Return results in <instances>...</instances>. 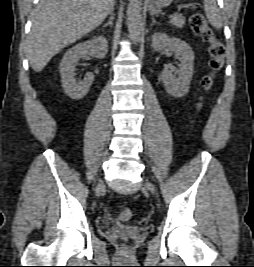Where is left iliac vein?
I'll return each mask as SVG.
<instances>
[{"label":"left iliac vein","instance_id":"1","mask_svg":"<svg viewBox=\"0 0 254 267\" xmlns=\"http://www.w3.org/2000/svg\"><path fill=\"white\" fill-rule=\"evenodd\" d=\"M144 186H145V188H146L148 191H150L152 194L155 193V188H154V186H153L150 182H145V183H144Z\"/></svg>","mask_w":254,"mask_h":267}]
</instances>
